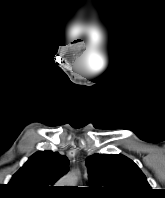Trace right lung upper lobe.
Wrapping results in <instances>:
<instances>
[{
	"mask_svg": "<svg viewBox=\"0 0 165 198\" xmlns=\"http://www.w3.org/2000/svg\"><path fill=\"white\" fill-rule=\"evenodd\" d=\"M68 164L67 157L57 152H37L13 175L8 187L24 196H49L54 183L67 172Z\"/></svg>",
	"mask_w": 165,
	"mask_h": 198,
	"instance_id": "obj_1",
	"label": "right lung upper lobe"
}]
</instances>
